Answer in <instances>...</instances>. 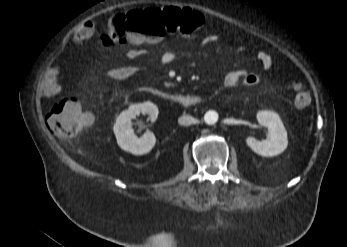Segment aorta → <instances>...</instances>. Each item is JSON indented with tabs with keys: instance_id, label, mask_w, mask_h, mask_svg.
Masks as SVG:
<instances>
[{
	"instance_id": "1",
	"label": "aorta",
	"mask_w": 347,
	"mask_h": 247,
	"mask_svg": "<svg viewBox=\"0 0 347 247\" xmlns=\"http://www.w3.org/2000/svg\"><path fill=\"white\" fill-rule=\"evenodd\" d=\"M205 123L208 125H213L218 121L217 112L210 110L204 116Z\"/></svg>"
}]
</instances>
